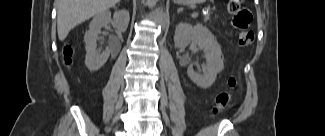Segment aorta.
Here are the masks:
<instances>
[{
    "label": "aorta",
    "instance_id": "obj_1",
    "mask_svg": "<svg viewBox=\"0 0 325 136\" xmlns=\"http://www.w3.org/2000/svg\"><path fill=\"white\" fill-rule=\"evenodd\" d=\"M157 0H147V5L149 7H153L156 5Z\"/></svg>",
    "mask_w": 325,
    "mask_h": 136
}]
</instances>
